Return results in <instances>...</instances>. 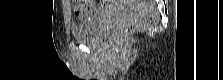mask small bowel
<instances>
[{"label": "small bowel", "mask_w": 223, "mask_h": 80, "mask_svg": "<svg viewBox=\"0 0 223 80\" xmlns=\"http://www.w3.org/2000/svg\"><path fill=\"white\" fill-rule=\"evenodd\" d=\"M113 5V1H103L95 7L92 1H85L82 6L74 4L73 11L80 18L92 21L98 19L107 10L112 8Z\"/></svg>", "instance_id": "1"}]
</instances>
